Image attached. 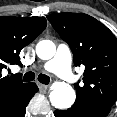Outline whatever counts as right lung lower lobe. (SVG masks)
Returning a JSON list of instances; mask_svg holds the SVG:
<instances>
[{"label":"right lung lower lobe","mask_w":117,"mask_h":117,"mask_svg":"<svg viewBox=\"0 0 117 117\" xmlns=\"http://www.w3.org/2000/svg\"><path fill=\"white\" fill-rule=\"evenodd\" d=\"M37 91V85L30 83L29 87L12 105L0 112V117H24L25 108Z\"/></svg>","instance_id":"obj_1"}]
</instances>
